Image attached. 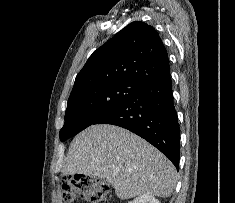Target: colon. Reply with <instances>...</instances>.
I'll return each instance as SVG.
<instances>
[{"mask_svg": "<svg viewBox=\"0 0 235 203\" xmlns=\"http://www.w3.org/2000/svg\"><path fill=\"white\" fill-rule=\"evenodd\" d=\"M62 199L64 203H73L82 198L91 203H109L110 189L89 175H74L62 181Z\"/></svg>", "mask_w": 235, "mask_h": 203, "instance_id": "colon-1", "label": "colon"}]
</instances>
